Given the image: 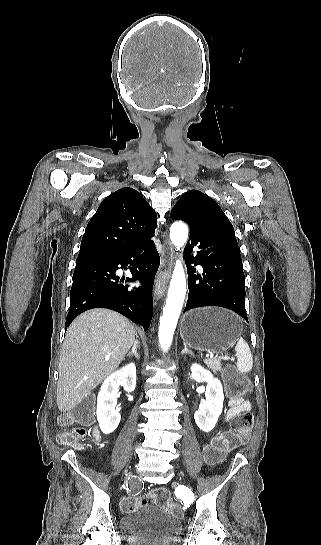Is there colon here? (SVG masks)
<instances>
[{
  "label": "colon",
  "instance_id": "obj_1",
  "mask_svg": "<svg viewBox=\"0 0 321 545\" xmlns=\"http://www.w3.org/2000/svg\"><path fill=\"white\" fill-rule=\"evenodd\" d=\"M224 384L228 395L231 398H240L249 392L250 386L248 380L238 374L232 366H228L223 375ZM93 407L90 400L83 401L79 405L68 411L63 420L65 424L76 423L74 428H66L58 434L57 440L60 444L81 447V442L86 433V427L92 422ZM253 419L248 411L236 415L232 421L231 430L216 437L205 448L204 456L208 463L214 464L220 462L225 454L243 444L251 431ZM149 497L160 507L180 515L179 506L173 502L169 492L164 488L154 489ZM146 504V498L143 496L130 495L121 501V509L125 512L136 510Z\"/></svg>",
  "mask_w": 321,
  "mask_h": 545
}]
</instances>
